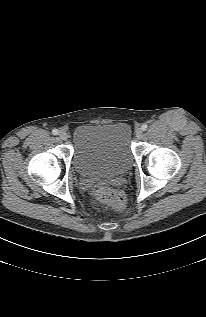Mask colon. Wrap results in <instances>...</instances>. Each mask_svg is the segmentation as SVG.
I'll return each mask as SVG.
<instances>
[{
    "instance_id": "1",
    "label": "colon",
    "mask_w": 206,
    "mask_h": 317,
    "mask_svg": "<svg viewBox=\"0 0 206 317\" xmlns=\"http://www.w3.org/2000/svg\"><path fill=\"white\" fill-rule=\"evenodd\" d=\"M93 200L100 205H112L118 209L125 207L124 196L105 184H97L91 189Z\"/></svg>"
}]
</instances>
